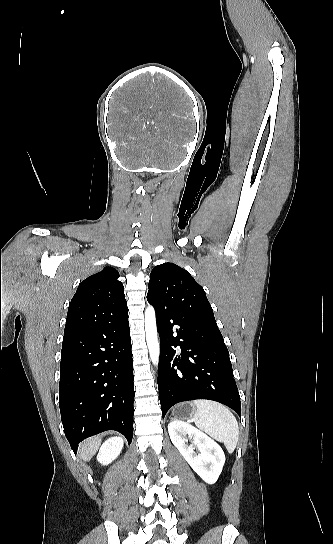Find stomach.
<instances>
[{
    "mask_svg": "<svg viewBox=\"0 0 333 544\" xmlns=\"http://www.w3.org/2000/svg\"><path fill=\"white\" fill-rule=\"evenodd\" d=\"M193 408L190 406V404H179L175 406L173 409V416L177 419H187L188 417H191Z\"/></svg>",
    "mask_w": 333,
    "mask_h": 544,
    "instance_id": "0dacf381",
    "label": "stomach"
}]
</instances>
